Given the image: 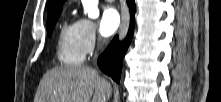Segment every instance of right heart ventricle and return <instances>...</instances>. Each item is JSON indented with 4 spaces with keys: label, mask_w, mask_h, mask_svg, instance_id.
<instances>
[{
    "label": "right heart ventricle",
    "mask_w": 221,
    "mask_h": 102,
    "mask_svg": "<svg viewBox=\"0 0 221 102\" xmlns=\"http://www.w3.org/2000/svg\"><path fill=\"white\" fill-rule=\"evenodd\" d=\"M57 57L65 65H79L84 60V53L79 45L75 23L64 22L59 30L56 47Z\"/></svg>",
    "instance_id": "right-heart-ventricle-1"
}]
</instances>
